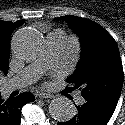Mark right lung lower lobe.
<instances>
[{"instance_id": "obj_1", "label": "right lung lower lobe", "mask_w": 125, "mask_h": 125, "mask_svg": "<svg viewBox=\"0 0 125 125\" xmlns=\"http://www.w3.org/2000/svg\"><path fill=\"white\" fill-rule=\"evenodd\" d=\"M35 101L32 93L24 92L17 97L5 100L0 94V125H19L22 106Z\"/></svg>"}]
</instances>
